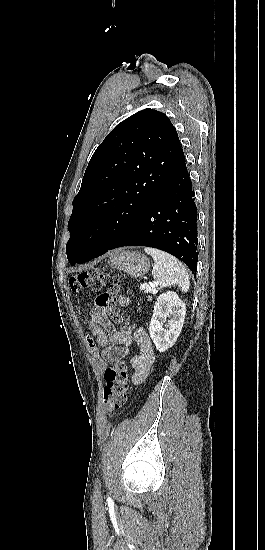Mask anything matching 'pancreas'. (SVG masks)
Wrapping results in <instances>:
<instances>
[{
    "label": "pancreas",
    "mask_w": 265,
    "mask_h": 550,
    "mask_svg": "<svg viewBox=\"0 0 265 550\" xmlns=\"http://www.w3.org/2000/svg\"><path fill=\"white\" fill-rule=\"evenodd\" d=\"M148 301H152V297H148Z\"/></svg>",
    "instance_id": "obj_1"
}]
</instances>
